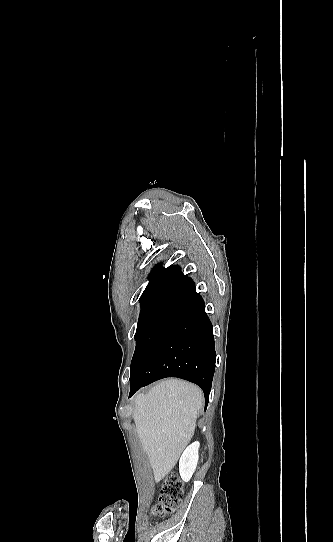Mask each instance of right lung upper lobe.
I'll return each instance as SVG.
<instances>
[{"mask_svg":"<svg viewBox=\"0 0 333 542\" xmlns=\"http://www.w3.org/2000/svg\"><path fill=\"white\" fill-rule=\"evenodd\" d=\"M186 278L180 267L161 268V264L155 265L149 274L150 281L140 297L141 305L159 303Z\"/></svg>","mask_w":333,"mask_h":542,"instance_id":"obj_1","label":"right lung upper lobe"}]
</instances>
